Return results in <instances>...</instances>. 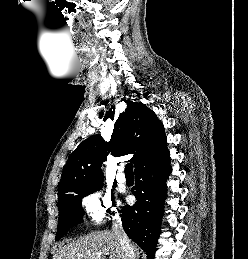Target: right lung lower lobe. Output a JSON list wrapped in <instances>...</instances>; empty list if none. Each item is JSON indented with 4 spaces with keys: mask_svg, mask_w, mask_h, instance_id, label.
<instances>
[{
    "mask_svg": "<svg viewBox=\"0 0 248 259\" xmlns=\"http://www.w3.org/2000/svg\"><path fill=\"white\" fill-rule=\"evenodd\" d=\"M169 151L135 168V186L131 190L137 202L120 207L122 224L127 235L154 259L156 242L160 234L167 188L171 173Z\"/></svg>",
    "mask_w": 248,
    "mask_h": 259,
    "instance_id": "obj_1",
    "label": "right lung lower lobe"
}]
</instances>
